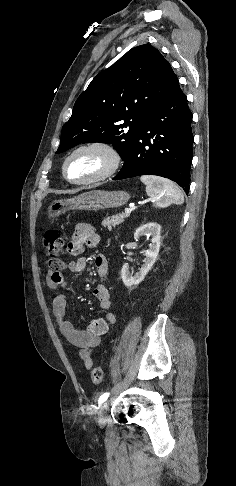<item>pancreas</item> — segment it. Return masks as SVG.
Returning <instances> with one entry per match:
<instances>
[{"label":"pancreas","mask_w":236,"mask_h":486,"mask_svg":"<svg viewBox=\"0 0 236 486\" xmlns=\"http://www.w3.org/2000/svg\"><path fill=\"white\" fill-rule=\"evenodd\" d=\"M129 217V214H119L113 215L112 217H107L102 221V226L107 227L108 230H112V228L116 227L117 225L124 222V220Z\"/></svg>","instance_id":"cf45deb5"}]
</instances>
